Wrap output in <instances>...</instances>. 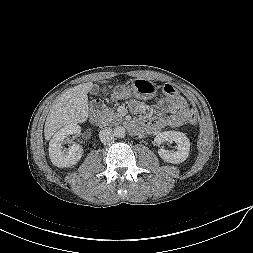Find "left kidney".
Segmentation results:
<instances>
[{
	"label": "left kidney",
	"mask_w": 253,
	"mask_h": 253,
	"mask_svg": "<svg viewBox=\"0 0 253 253\" xmlns=\"http://www.w3.org/2000/svg\"><path fill=\"white\" fill-rule=\"evenodd\" d=\"M177 144V150L170 152L165 149H159V156L167 163L179 164L184 162L190 152V142L187 136L182 132L165 131L154 138L156 145L160 146L163 142H172Z\"/></svg>",
	"instance_id": "obj_1"
}]
</instances>
